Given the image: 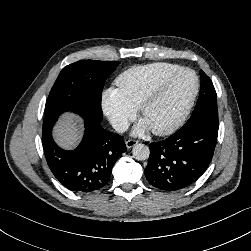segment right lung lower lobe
Here are the masks:
<instances>
[{
  "label": "right lung lower lobe",
  "mask_w": 251,
  "mask_h": 251,
  "mask_svg": "<svg viewBox=\"0 0 251 251\" xmlns=\"http://www.w3.org/2000/svg\"><path fill=\"white\" fill-rule=\"evenodd\" d=\"M85 131L79 146L63 150L52 138V128L61 113L45 116L42 141L47 164L56 179L75 193H92L110 180L112 168L126 145L117 133L103 129L100 120L82 111Z\"/></svg>",
  "instance_id": "1"
}]
</instances>
